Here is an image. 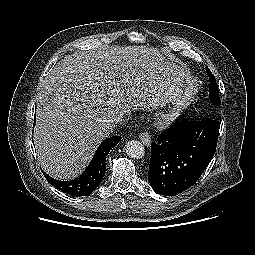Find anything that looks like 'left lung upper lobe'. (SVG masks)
<instances>
[{
    "label": "left lung upper lobe",
    "instance_id": "5c2ea615",
    "mask_svg": "<svg viewBox=\"0 0 255 255\" xmlns=\"http://www.w3.org/2000/svg\"><path fill=\"white\" fill-rule=\"evenodd\" d=\"M207 73L210 79L209 99L214 105L220 107V97L215 77L209 69H207Z\"/></svg>",
    "mask_w": 255,
    "mask_h": 255
}]
</instances>
